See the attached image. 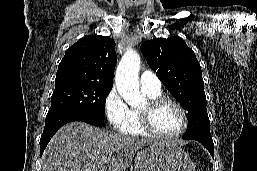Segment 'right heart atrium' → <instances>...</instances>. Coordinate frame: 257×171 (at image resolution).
Wrapping results in <instances>:
<instances>
[{"label":"right heart atrium","mask_w":257,"mask_h":171,"mask_svg":"<svg viewBox=\"0 0 257 171\" xmlns=\"http://www.w3.org/2000/svg\"><path fill=\"white\" fill-rule=\"evenodd\" d=\"M104 110L112 128L120 132L127 128L131 110L116 88H112L107 94L104 100Z\"/></svg>","instance_id":"right-heart-atrium-1"}]
</instances>
